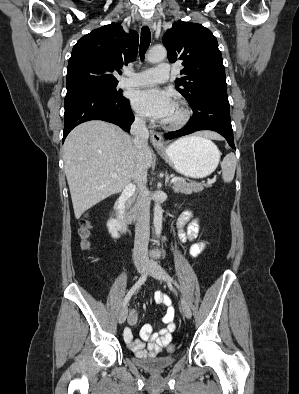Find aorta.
<instances>
[{
	"mask_svg": "<svg viewBox=\"0 0 299 394\" xmlns=\"http://www.w3.org/2000/svg\"><path fill=\"white\" fill-rule=\"evenodd\" d=\"M167 56L166 49L164 47H153L147 54V60L150 63H159L163 61ZM162 207L158 201L154 205V228L155 234L159 238L162 230Z\"/></svg>",
	"mask_w": 299,
	"mask_h": 394,
	"instance_id": "obj_1",
	"label": "aorta"
}]
</instances>
